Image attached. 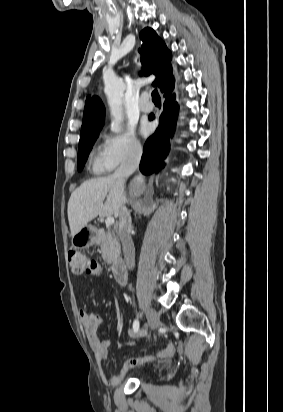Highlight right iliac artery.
Returning a JSON list of instances; mask_svg holds the SVG:
<instances>
[{"instance_id": "1", "label": "right iliac artery", "mask_w": 283, "mask_h": 412, "mask_svg": "<svg viewBox=\"0 0 283 412\" xmlns=\"http://www.w3.org/2000/svg\"><path fill=\"white\" fill-rule=\"evenodd\" d=\"M133 329L135 332H138L139 330V322L137 320H135L133 323Z\"/></svg>"}]
</instances>
